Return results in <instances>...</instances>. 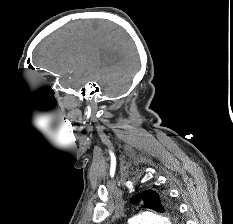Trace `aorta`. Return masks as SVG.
<instances>
[{"label":"aorta","instance_id":"aorta-1","mask_svg":"<svg viewBox=\"0 0 233 224\" xmlns=\"http://www.w3.org/2000/svg\"><path fill=\"white\" fill-rule=\"evenodd\" d=\"M129 224H171L167 218L152 212H143L129 220Z\"/></svg>","mask_w":233,"mask_h":224}]
</instances>
